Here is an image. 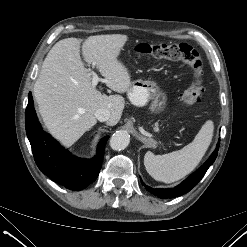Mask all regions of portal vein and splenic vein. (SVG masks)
Returning <instances> with one entry per match:
<instances>
[{"instance_id": "portal-vein-and-splenic-vein-1", "label": "portal vein and splenic vein", "mask_w": 247, "mask_h": 247, "mask_svg": "<svg viewBox=\"0 0 247 247\" xmlns=\"http://www.w3.org/2000/svg\"><path fill=\"white\" fill-rule=\"evenodd\" d=\"M89 71H90V74L92 75V86L93 87H96L98 82H104V83L106 82L105 79L99 78L94 71H91V70H89Z\"/></svg>"}]
</instances>
